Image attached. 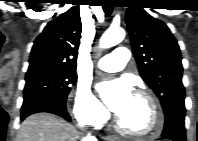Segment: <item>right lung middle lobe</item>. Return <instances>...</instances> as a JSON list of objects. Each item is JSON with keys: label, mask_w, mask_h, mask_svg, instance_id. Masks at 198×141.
<instances>
[{"label": "right lung middle lobe", "mask_w": 198, "mask_h": 141, "mask_svg": "<svg viewBox=\"0 0 198 141\" xmlns=\"http://www.w3.org/2000/svg\"><path fill=\"white\" fill-rule=\"evenodd\" d=\"M75 79V71L47 69L27 72L24 100L43 98L65 105Z\"/></svg>", "instance_id": "obj_1"}]
</instances>
